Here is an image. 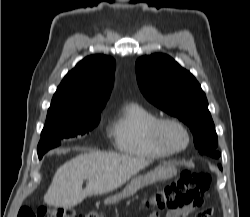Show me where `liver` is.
<instances>
[{
	"label": "liver",
	"mask_w": 250,
	"mask_h": 217,
	"mask_svg": "<svg viewBox=\"0 0 250 217\" xmlns=\"http://www.w3.org/2000/svg\"><path fill=\"white\" fill-rule=\"evenodd\" d=\"M144 158L89 151L60 166L49 186L44 202L49 206L71 208L86 197L111 192L148 166ZM88 184L82 188L83 181Z\"/></svg>",
	"instance_id": "obj_1"
}]
</instances>
